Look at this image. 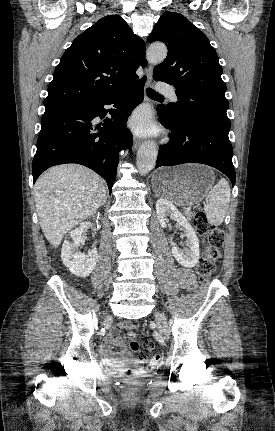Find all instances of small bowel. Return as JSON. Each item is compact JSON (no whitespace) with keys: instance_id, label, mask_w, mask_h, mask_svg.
I'll use <instances>...</instances> for the list:
<instances>
[{"instance_id":"1","label":"small bowel","mask_w":275,"mask_h":431,"mask_svg":"<svg viewBox=\"0 0 275 431\" xmlns=\"http://www.w3.org/2000/svg\"><path fill=\"white\" fill-rule=\"evenodd\" d=\"M180 284L183 288L191 289L194 287V278L190 271L187 269H180L178 271ZM134 326L130 322H122L116 328V333L105 337L102 343V352L106 360L113 366H118L125 362L131 361L132 357L127 351L126 346L120 336L121 331L131 330ZM120 349L121 356L113 348Z\"/></svg>"}]
</instances>
